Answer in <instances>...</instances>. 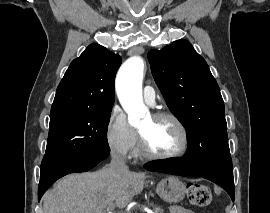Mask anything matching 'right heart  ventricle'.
I'll use <instances>...</instances> for the list:
<instances>
[{
  "mask_svg": "<svg viewBox=\"0 0 270 213\" xmlns=\"http://www.w3.org/2000/svg\"><path fill=\"white\" fill-rule=\"evenodd\" d=\"M134 154H135V156H137V157L141 156L140 150H139L138 148L135 149Z\"/></svg>",
  "mask_w": 270,
  "mask_h": 213,
  "instance_id": "obj_1",
  "label": "right heart ventricle"
}]
</instances>
